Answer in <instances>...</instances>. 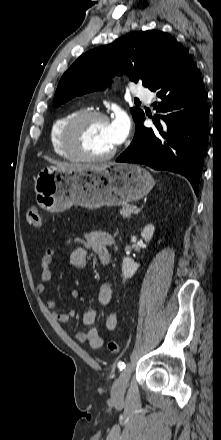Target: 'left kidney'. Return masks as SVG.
Returning a JSON list of instances; mask_svg holds the SVG:
<instances>
[{"label":"left kidney","mask_w":221,"mask_h":440,"mask_svg":"<svg viewBox=\"0 0 221 440\" xmlns=\"http://www.w3.org/2000/svg\"><path fill=\"white\" fill-rule=\"evenodd\" d=\"M154 231H155L154 225L148 224L143 228V230L141 232V237L145 240V242H149L151 240V238L153 237ZM138 267H139V264L135 263L132 258L125 257L123 259V264H122L123 278L124 279L131 278L135 274V272L137 271Z\"/></svg>","instance_id":"1"}]
</instances>
